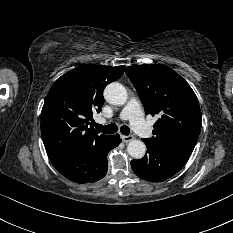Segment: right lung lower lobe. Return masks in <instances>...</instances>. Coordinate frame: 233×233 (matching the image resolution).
I'll return each instance as SVG.
<instances>
[{"label": "right lung lower lobe", "mask_w": 233, "mask_h": 233, "mask_svg": "<svg viewBox=\"0 0 233 233\" xmlns=\"http://www.w3.org/2000/svg\"><path fill=\"white\" fill-rule=\"evenodd\" d=\"M120 142L118 134L108 135L93 145H86L50 160L64 177L73 182L80 184L96 182L107 173L108 152Z\"/></svg>", "instance_id": "1"}]
</instances>
